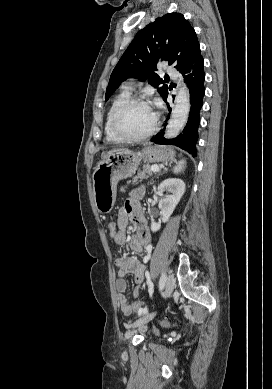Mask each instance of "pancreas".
I'll return each mask as SVG.
<instances>
[{"label": "pancreas", "instance_id": "obj_1", "mask_svg": "<svg viewBox=\"0 0 272 389\" xmlns=\"http://www.w3.org/2000/svg\"><path fill=\"white\" fill-rule=\"evenodd\" d=\"M148 174V175H146ZM152 175L151 166L150 165H144L142 167V170L138 171V175L133 178V183H137L138 181H142L145 178H148Z\"/></svg>", "mask_w": 272, "mask_h": 389}]
</instances>
